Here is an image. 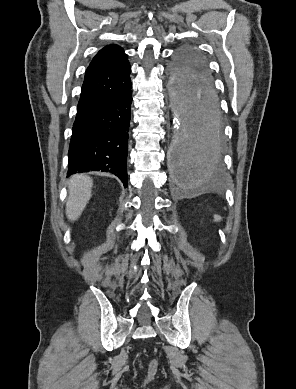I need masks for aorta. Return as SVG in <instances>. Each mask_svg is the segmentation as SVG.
Here are the masks:
<instances>
[{
    "label": "aorta",
    "instance_id": "1",
    "mask_svg": "<svg viewBox=\"0 0 296 389\" xmlns=\"http://www.w3.org/2000/svg\"><path fill=\"white\" fill-rule=\"evenodd\" d=\"M167 97L175 134L167 147L175 189H201L220 160L216 130L218 93L203 72L168 67Z\"/></svg>",
    "mask_w": 296,
    "mask_h": 389
}]
</instances>
